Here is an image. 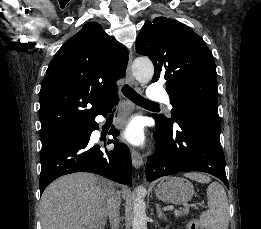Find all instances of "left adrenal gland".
Here are the masks:
<instances>
[{
  "label": "left adrenal gland",
  "instance_id": "1",
  "mask_svg": "<svg viewBox=\"0 0 261 229\" xmlns=\"http://www.w3.org/2000/svg\"><path fill=\"white\" fill-rule=\"evenodd\" d=\"M156 211H157V217L158 219H164V221H167L163 211H161L160 205H156Z\"/></svg>",
  "mask_w": 261,
  "mask_h": 229
}]
</instances>
